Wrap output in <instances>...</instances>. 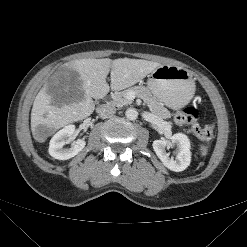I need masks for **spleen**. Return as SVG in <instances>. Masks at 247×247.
Here are the masks:
<instances>
[{"label":"spleen","instance_id":"1","mask_svg":"<svg viewBox=\"0 0 247 247\" xmlns=\"http://www.w3.org/2000/svg\"><path fill=\"white\" fill-rule=\"evenodd\" d=\"M207 146H204V145H200V153L202 156L206 155L207 154Z\"/></svg>","mask_w":247,"mask_h":247}]
</instances>
